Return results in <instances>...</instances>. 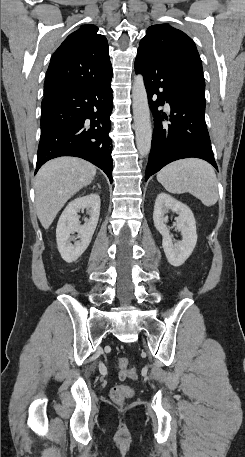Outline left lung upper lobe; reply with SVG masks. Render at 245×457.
Listing matches in <instances>:
<instances>
[{
    "label": "left lung upper lobe",
    "mask_w": 245,
    "mask_h": 457,
    "mask_svg": "<svg viewBox=\"0 0 245 457\" xmlns=\"http://www.w3.org/2000/svg\"><path fill=\"white\" fill-rule=\"evenodd\" d=\"M137 54L162 58L188 84V91L205 100L202 62L193 40L168 24L152 25L141 39Z\"/></svg>",
    "instance_id": "left-lung-upper-lobe-1"
}]
</instances>
